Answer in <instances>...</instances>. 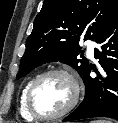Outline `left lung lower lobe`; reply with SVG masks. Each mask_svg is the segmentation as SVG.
I'll use <instances>...</instances> for the list:
<instances>
[{
  "mask_svg": "<svg viewBox=\"0 0 118 123\" xmlns=\"http://www.w3.org/2000/svg\"><path fill=\"white\" fill-rule=\"evenodd\" d=\"M95 42L101 45L99 49H94V57L99 59L100 72L91 65L88 67L82 77L85 84V98L63 121L94 117L118 120V18ZM91 69L98 77H90Z\"/></svg>",
  "mask_w": 118,
  "mask_h": 123,
  "instance_id": "left-lung-lower-lobe-1",
  "label": "left lung lower lobe"
}]
</instances>
